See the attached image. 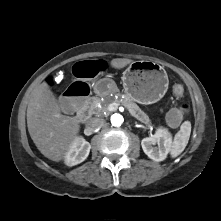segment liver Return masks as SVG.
<instances>
[{
	"label": "liver",
	"mask_w": 221,
	"mask_h": 221,
	"mask_svg": "<svg viewBox=\"0 0 221 221\" xmlns=\"http://www.w3.org/2000/svg\"><path fill=\"white\" fill-rule=\"evenodd\" d=\"M131 59L116 58L110 64L121 69L132 63ZM77 117L61 114L56 97L46 82L32 92L27 108V127L37 149L48 159L59 162L77 138L80 125Z\"/></svg>",
	"instance_id": "6515ba94"
}]
</instances>
